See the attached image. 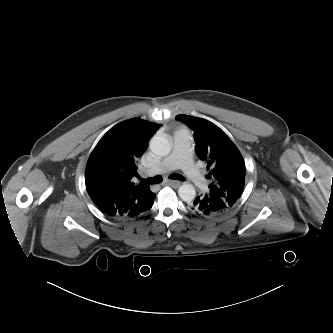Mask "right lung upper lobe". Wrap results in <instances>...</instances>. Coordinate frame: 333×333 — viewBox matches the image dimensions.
<instances>
[{
	"instance_id": "obj_1",
	"label": "right lung upper lobe",
	"mask_w": 333,
	"mask_h": 333,
	"mask_svg": "<svg viewBox=\"0 0 333 333\" xmlns=\"http://www.w3.org/2000/svg\"><path fill=\"white\" fill-rule=\"evenodd\" d=\"M160 126L132 118L115 125L101 138L85 172L86 189L94 204L112 202L135 211L148 207L149 186L136 185L132 177H138L137 158Z\"/></svg>"
}]
</instances>
